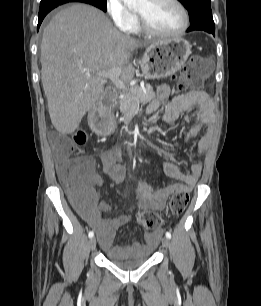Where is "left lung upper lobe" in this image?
<instances>
[{
    "mask_svg": "<svg viewBox=\"0 0 261 306\" xmlns=\"http://www.w3.org/2000/svg\"><path fill=\"white\" fill-rule=\"evenodd\" d=\"M187 8L190 25L215 27L210 0H179Z\"/></svg>",
    "mask_w": 261,
    "mask_h": 306,
    "instance_id": "obj_1",
    "label": "left lung upper lobe"
}]
</instances>
